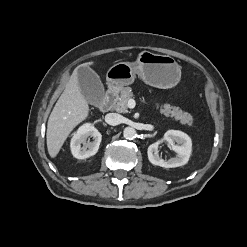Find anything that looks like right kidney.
<instances>
[{"mask_svg":"<svg viewBox=\"0 0 247 247\" xmlns=\"http://www.w3.org/2000/svg\"><path fill=\"white\" fill-rule=\"evenodd\" d=\"M88 137H92L93 141H87ZM101 139V133L91 123L82 125L71 139L72 155L77 159H86L95 155L99 149ZM81 144H83V147Z\"/></svg>","mask_w":247,"mask_h":247,"instance_id":"obj_1","label":"right kidney"}]
</instances>
